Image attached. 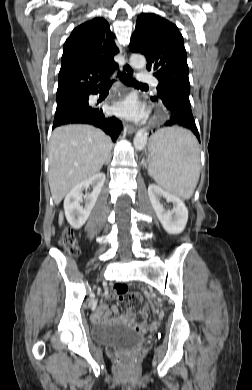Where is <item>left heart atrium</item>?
Masks as SVG:
<instances>
[{"instance_id": "39dd6f15", "label": "left heart atrium", "mask_w": 252, "mask_h": 390, "mask_svg": "<svg viewBox=\"0 0 252 390\" xmlns=\"http://www.w3.org/2000/svg\"><path fill=\"white\" fill-rule=\"evenodd\" d=\"M112 110L116 115L130 120H139L144 115L142 105L134 96H127L116 102Z\"/></svg>"}]
</instances>
